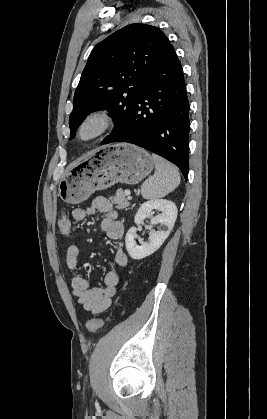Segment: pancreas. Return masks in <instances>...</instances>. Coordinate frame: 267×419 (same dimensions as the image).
<instances>
[{"mask_svg": "<svg viewBox=\"0 0 267 419\" xmlns=\"http://www.w3.org/2000/svg\"><path fill=\"white\" fill-rule=\"evenodd\" d=\"M110 200L113 204L116 205L117 209L121 210L128 207L130 204L122 189L117 190L115 196L110 197Z\"/></svg>", "mask_w": 267, "mask_h": 419, "instance_id": "cf45deb5", "label": "pancreas"}]
</instances>
